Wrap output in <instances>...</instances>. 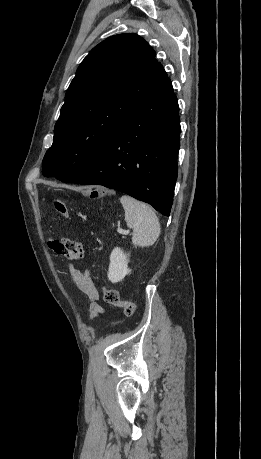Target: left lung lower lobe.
I'll use <instances>...</instances> for the list:
<instances>
[{"label":"left lung lower lobe","mask_w":261,"mask_h":459,"mask_svg":"<svg viewBox=\"0 0 261 459\" xmlns=\"http://www.w3.org/2000/svg\"><path fill=\"white\" fill-rule=\"evenodd\" d=\"M178 113L167 77L95 160L64 182L119 190L169 216L178 171Z\"/></svg>","instance_id":"0a47b994"}]
</instances>
